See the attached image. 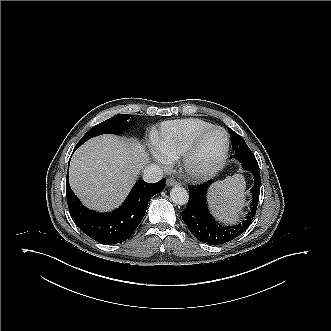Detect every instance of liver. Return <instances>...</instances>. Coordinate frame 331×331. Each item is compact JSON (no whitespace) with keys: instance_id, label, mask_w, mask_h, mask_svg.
Returning <instances> with one entry per match:
<instances>
[{"instance_id":"1","label":"liver","mask_w":331,"mask_h":331,"mask_svg":"<svg viewBox=\"0 0 331 331\" xmlns=\"http://www.w3.org/2000/svg\"><path fill=\"white\" fill-rule=\"evenodd\" d=\"M148 162L149 155L138 140L101 135L74 153L70 185L88 208L110 211L124 201Z\"/></svg>"}]
</instances>
